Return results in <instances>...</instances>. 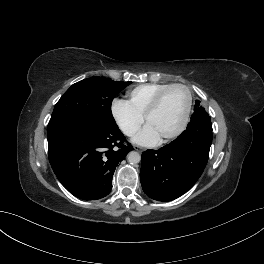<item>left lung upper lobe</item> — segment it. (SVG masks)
Wrapping results in <instances>:
<instances>
[{"label": "left lung upper lobe", "mask_w": 264, "mask_h": 264, "mask_svg": "<svg viewBox=\"0 0 264 264\" xmlns=\"http://www.w3.org/2000/svg\"><path fill=\"white\" fill-rule=\"evenodd\" d=\"M199 104H200V101H198V100H197V101H196V105H195V106H196V107H198V106H199Z\"/></svg>", "instance_id": "1"}]
</instances>
